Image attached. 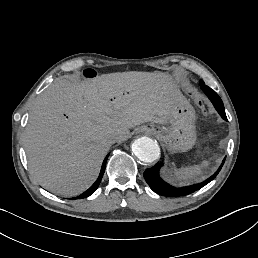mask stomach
Listing matches in <instances>:
<instances>
[{"label": "stomach", "instance_id": "0dacf381", "mask_svg": "<svg viewBox=\"0 0 258 258\" xmlns=\"http://www.w3.org/2000/svg\"><path fill=\"white\" fill-rule=\"evenodd\" d=\"M177 87L180 90L182 85L177 82ZM167 120L168 126L150 123L142 126L140 131L155 136L170 154L192 150L197 142V113L181 90L172 103Z\"/></svg>", "mask_w": 258, "mask_h": 258}]
</instances>
